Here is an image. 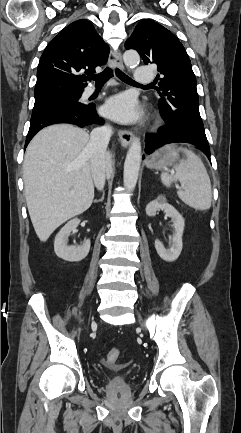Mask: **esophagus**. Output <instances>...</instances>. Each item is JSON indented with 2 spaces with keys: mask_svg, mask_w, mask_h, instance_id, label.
Masks as SVG:
<instances>
[{
  "mask_svg": "<svg viewBox=\"0 0 241 433\" xmlns=\"http://www.w3.org/2000/svg\"><path fill=\"white\" fill-rule=\"evenodd\" d=\"M109 62L113 68L124 70V65L122 62V57L120 52H110ZM118 135H119V140L123 147H128L134 138V135L130 130L120 129L118 131Z\"/></svg>",
  "mask_w": 241,
  "mask_h": 433,
  "instance_id": "esophagus-1",
  "label": "esophagus"
}]
</instances>
